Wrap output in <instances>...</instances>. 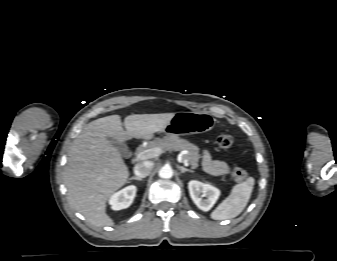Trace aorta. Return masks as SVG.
Returning <instances> with one entry per match:
<instances>
[{"instance_id": "1", "label": "aorta", "mask_w": 337, "mask_h": 261, "mask_svg": "<svg viewBox=\"0 0 337 261\" xmlns=\"http://www.w3.org/2000/svg\"><path fill=\"white\" fill-rule=\"evenodd\" d=\"M159 176L161 178H171L173 176V170L170 166H164L159 170Z\"/></svg>"}]
</instances>
